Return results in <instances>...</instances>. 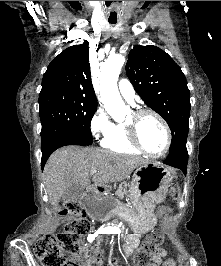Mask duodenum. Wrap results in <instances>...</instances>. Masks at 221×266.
<instances>
[{"instance_id": "410a0bca", "label": "duodenum", "mask_w": 221, "mask_h": 266, "mask_svg": "<svg viewBox=\"0 0 221 266\" xmlns=\"http://www.w3.org/2000/svg\"><path fill=\"white\" fill-rule=\"evenodd\" d=\"M116 194L113 191H108L103 185L90 186L85 189V194H81L79 202L85 208V213L92 216V219H97V223H109L112 210L116 206Z\"/></svg>"}]
</instances>
